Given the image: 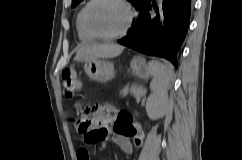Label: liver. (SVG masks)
<instances>
[{
	"label": "liver",
	"mask_w": 242,
	"mask_h": 160,
	"mask_svg": "<svg viewBox=\"0 0 242 160\" xmlns=\"http://www.w3.org/2000/svg\"><path fill=\"white\" fill-rule=\"evenodd\" d=\"M124 47L113 43L85 45L78 49L74 58L76 61H93L117 57Z\"/></svg>",
	"instance_id": "6515ba94"
}]
</instances>
